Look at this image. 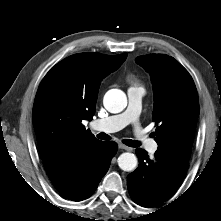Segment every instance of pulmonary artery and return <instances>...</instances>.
<instances>
[{"mask_svg":"<svg viewBox=\"0 0 221 221\" xmlns=\"http://www.w3.org/2000/svg\"><path fill=\"white\" fill-rule=\"evenodd\" d=\"M145 89L142 86H131L128 88V106L122 113L96 120L92 123V128L105 133L119 131L129 124L135 125V131L140 144L151 153L155 152L158 144L151 139L148 134L138 126V118L141 111V101Z\"/></svg>","mask_w":221,"mask_h":221,"instance_id":"1","label":"pulmonary artery"}]
</instances>
